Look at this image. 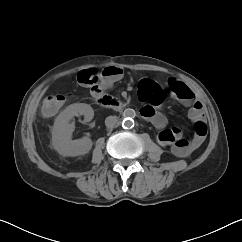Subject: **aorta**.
<instances>
[{
	"label": "aorta",
	"instance_id": "obj_1",
	"mask_svg": "<svg viewBox=\"0 0 242 242\" xmlns=\"http://www.w3.org/2000/svg\"><path fill=\"white\" fill-rule=\"evenodd\" d=\"M136 116V112L134 109L128 108L123 112V121L122 127L125 129L132 128L134 126V117Z\"/></svg>",
	"mask_w": 242,
	"mask_h": 242
}]
</instances>
